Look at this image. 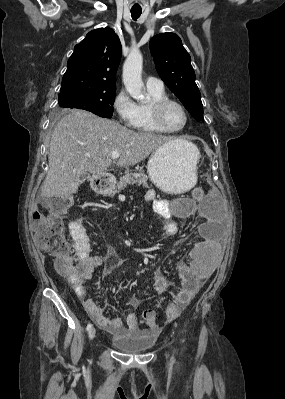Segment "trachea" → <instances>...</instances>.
Returning <instances> with one entry per match:
<instances>
[{"instance_id":"trachea-1","label":"trachea","mask_w":285,"mask_h":399,"mask_svg":"<svg viewBox=\"0 0 285 399\" xmlns=\"http://www.w3.org/2000/svg\"><path fill=\"white\" fill-rule=\"evenodd\" d=\"M142 13V10L131 9V16L134 20L138 19Z\"/></svg>"}]
</instances>
